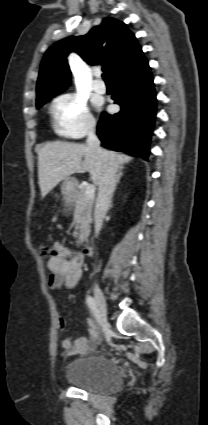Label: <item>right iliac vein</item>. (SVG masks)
Segmentation results:
<instances>
[{
    "mask_svg": "<svg viewBox=\"0 0 208 425\" xmlns=\"http://www.w3.org/2000/svg\"><path fill=\"white\" fill-rule=\"evenodd\" d=\"M94 297L97 305L98 313L102 323L106 324L107 321V304L105 297L98 286L94 288Z\"/></svg>",
    "mask_w": 208,
    "mask_h": 425,
    "instance_id": "63e3f726",
    "label": "right iliac vein"
}]
</instances>
